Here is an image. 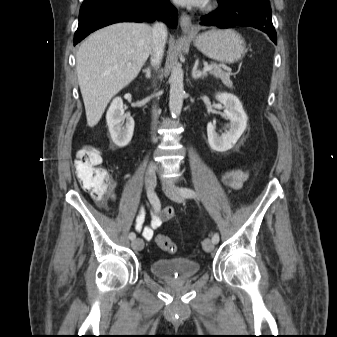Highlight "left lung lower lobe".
<instances>
[{"label": "left lung lower lobe", "instance_id": "obj_1", "mask_svg": "<svg viewBox=\"0 0 337 337\" xmlns=\"http://www.w3.org/2000/svg\"><path fill=\"white\" fill-rule=\"evenodd\" d=\"M220 7L201 18L200 25L219 28L254 27L277 44L269 0H218Z\"/></svg>", "mask_w": 337, "mask_h": 337}]
</instances>
